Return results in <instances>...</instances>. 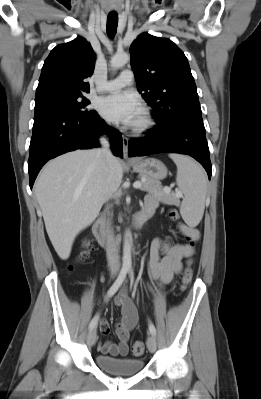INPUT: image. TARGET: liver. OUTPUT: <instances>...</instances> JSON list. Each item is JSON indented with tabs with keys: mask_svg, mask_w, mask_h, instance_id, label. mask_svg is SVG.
Returning <instances> with one entry per match:
<instances>
[{
	"mask_svg": "<svg viewBox=\"0 0 261 399\" xmlns=\"http://www.w3.org/2000/svg\"><path fill=\"white\" fill-rule=\"evenodd\" d=\"M122 177L120 160L113 156L106 162L99 149L66 153L43 168L34 191L48 236L62 260L69 258L76 236L96 219Z\"/></svg>",
	"mask_w": 261,
	"mask_h": 399,
	"instance_id": "liver-1",
	"label": "liver"
}]
</instances>
